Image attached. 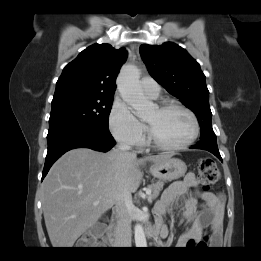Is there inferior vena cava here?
I'll return each instance as SVG.
<instances>
[{
	"mask_svg": "<svg viewBox=\"0 0 261 261\" xmlns=\"http://www.w3.org/2000/svg\"><path fill=\"white\" fill-rule=\"evenodd\" d=\"M131 147L128 144L120 143L118 150L121 153H128L131 158H136V153H129ZM132 197L129 192L123 190L115 201L116 235L115 244L119 247H131V220L130 205Z\"/></svg>",
	"mask_w": 261,
	"mask_h": 261,
	"instance_id": "obj_1",
	"label": "inferior vena cava"
}]
</instances>
